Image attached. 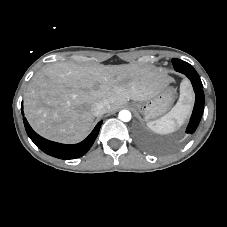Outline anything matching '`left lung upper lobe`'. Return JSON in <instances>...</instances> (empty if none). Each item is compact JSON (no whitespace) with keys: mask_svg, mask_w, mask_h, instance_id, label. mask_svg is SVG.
Here are the masks:
<instances>
[{"mask_svg":"<svg viewBox=\"0 0 227 227\" xmlns=\"http://www.w3.org/2000/svg\"><path fill=\"white\" fill-rule=\"evenodd\" d=\"M172 63L175 70H178V68H183V66L192 67L189 63L176 58L172 59Z\"/></svg>","mask_w":227,"mask_h":227,"instance_id":"obj_1","label":"left lung upper lobe"}]
</instances>
